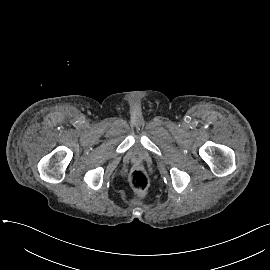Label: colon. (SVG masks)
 <instances>
[{
    "label": "colon",
    "instance_id": "obj_1",
    "mask_svg": "<svg viewBox=\"0 0 270 270\" xmlns=\"http://www.w3.org/2000/svg\"><path fill=\"white\" fill-rule=\"evenodd\" d=\"M132 185L138 192H144L148 186V180L142 170L135 171L132 176Z\"/></svg>",
    "mask_w": 270,
    "mask_h": 270
}]
</instances>
